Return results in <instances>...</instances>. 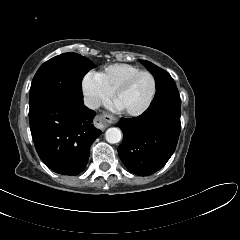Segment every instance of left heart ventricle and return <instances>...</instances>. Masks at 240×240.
I'll return each mask as SVG.
<instances>
[{
  "label": "left heart ventricle",
  "mask_w": 240,
  "mask_h": 240,
  "mask_svg": "<svg viewBox=\"0 0 240 240\" xmlns=\"http://www.w3.org/2000/svg\"><path fill=\"white\" fill-rule=\"evenodd\" d=\"M153 89V81L149 75L138 77L129 89L123 92L118 101L126 110L142 108L150 99Z\"/></svg>",
  "instance_id": "obj_1"
}]
</instances>
